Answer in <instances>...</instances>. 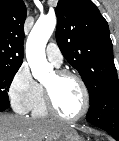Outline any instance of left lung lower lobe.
Masks as SVG:
<instances>
[{
  "instance_id": "left-lung-lower-lobe-1",
  "label": "left lung lower lobe",
  "mask_w": 119,
  "mask_h": 141,
  "mask_svg": "<svg viewBox=\"0 0 119 141\" xmlns=\"http://www.w3.org/2000/svg\"><path fill=\"white\" fill-rule=\"evenodd\" d=\"M86 120L119 141V92L106 95L90 105Z\"/></svg>"
}]
</instances>
